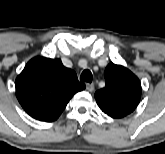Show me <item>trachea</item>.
Masks as SVG:
<instances>
[{
  "label": "trachea",
  "instance_id": "1",
  "mask_svg": "<svg viewBox=\"0 0 165 154\" xmlns=\"http://www.w3.org/2000/svg\"><path fill=\"white\" fill-rule=\"evenodd\" d=\"M92 73L89 69H85L82 73H81V76H80V80L81 81H85V82H88V83H91L92 82Z\"/></svg>",
  "mask_w": 165,
  "mask_h": 154
}]
</instances>
